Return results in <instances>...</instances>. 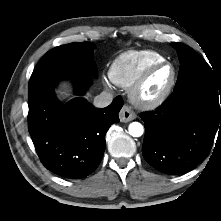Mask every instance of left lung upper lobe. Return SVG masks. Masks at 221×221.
<instances>
[{"label": "left lung upper lobe", "mask_w": 221, "mask_h": 221, "mask_svg": "<svg viewBox=\"0 0 221 221\" xmlns=\"http://www.w3.org/2000/svg\"><path fill=\"white\" fill-rule=\"evenodd\" d=\"M180 61V71L174 90L185 87H201L221 97V76L213 72L189 46L172 43Z\"/></svg>", "instance_id": "left-lung-upper-lobe-1"}]
</instances>
